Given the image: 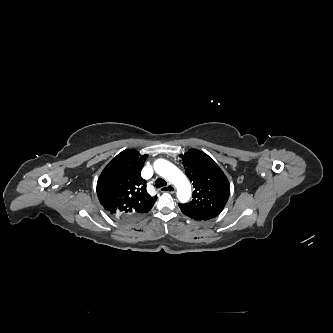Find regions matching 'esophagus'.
I'll return each instance as SVG.
<instances>
[{"mask_svg":"<svg viewBox=\"0 0 333 333\" xmlns=\"http://www.w3.org/2000/svg\"><path fill=\"white\" fill-rule=\"evenodd\" d=\"M162 190L173 193L175 192V187L172 184H168L166 187H163Z\"/></svg>","mask_w":333,"mask_h":333,"instance_id":"obj_1","label":"esophagus"}]
</instances>
